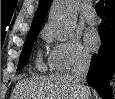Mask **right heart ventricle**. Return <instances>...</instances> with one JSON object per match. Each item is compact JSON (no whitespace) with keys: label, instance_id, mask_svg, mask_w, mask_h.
Segmentation results:
<instances>
[{"label":"right heart ventricle","instance_id":"right-heart-ventricle-1","mask_svg":"<svg viewBox=\"0 0 115 99\" xmlns=\"http://www.w3.org/2000/svg\"><path fill=\"white\" fill-rule=\"evenodd\" d=\"M37 67H38L40 70H44V69H45V66H44L43 62L41 61V59H38V60H37Z\"/></svg>","mask_w":115,"mask_h":99}]
</instances>
